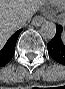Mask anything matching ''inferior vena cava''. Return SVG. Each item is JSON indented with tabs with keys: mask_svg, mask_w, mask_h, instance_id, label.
I'll list each match as a JSON object with an SVG mask.
<instances>
[{
	"mask_svg": "<svg viewBox=\"0 0 65 89\" xmlns=\"http://www.w3.org/2000/svg\"><path fill=\"white\" fill-rule=\"evenodd\" d=\"M31 20V16L22 17L17 20V28L24 27Z\"/></svg>",
	"mask_w": 65,
	"mask_h": 89,
	"instance_id": "obj_1",
	"label": "inferior vena cava"
}]
</instances>
